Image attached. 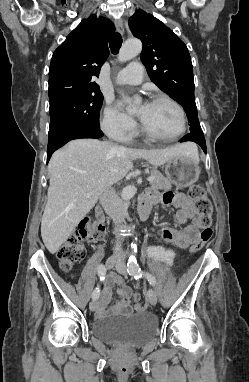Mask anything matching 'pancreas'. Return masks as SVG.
Masks as SVG:
<instances>
[{"mask_svg": "<svg viewBox=\"0 0 249 382\" xmlns=\"http://www.w3.org/2000/svg\"><path fill=\"white\" fill-rule=\"evenodd\" d=\"M150 175H151V177L154 178V180L150 182L152 189H154V190L162 189L163 190V189H171L172 188V182L169 179L165 178L162 175V173H160L156 169H153L150 172Z\"/></svg>", "mask_w": 249, "mask_h": 382, "instance_id": "pancreas-1", "label": "pancreas"}]
</instances>
